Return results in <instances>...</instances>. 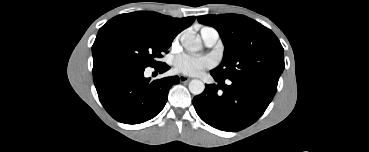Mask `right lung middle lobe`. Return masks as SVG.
Here are the masks:
<instances>
[{"label": "right lung middle lobe", "mask_w": 369, "mask_h": 152, "mask_svg": "<svg viewBox=\"0 0 369 152\" xmlns=\"http://www.w3.org/2000/svg\"><path fill=\"white\" fill-rule=\"evenodd\" d=\"M172 40L162 38L118 16L99 29L92 46L93 74L115 65L156 67Z\"/></svg>", "instance_id": "dd1d6c3e"}]
</instances>
